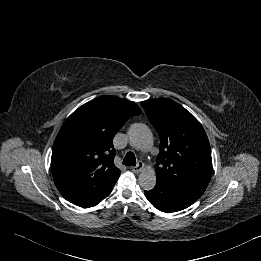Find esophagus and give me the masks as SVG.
I'll list each match as a JSON object with an SVG mask.
<instances>
[{"mask_svg": "<svg viewBox=\"0 0 261 261\" xmlns=\"http://www.w3.org/2000/svg\"><path fill=\"white\" fill-rule=\"evenodd\" d=\"M144 168V163L139 161L135 167H132L134 173H139Z\"/></svg>", "mask_w": 261, "mask_h": 261, "instance_id": "obj_1", "label": "esophagus"}]
</instances>
